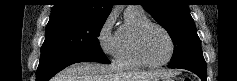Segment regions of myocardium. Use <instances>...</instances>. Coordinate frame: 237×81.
I'll use <instances>...</instances> for the list:
<instances>
[{
	"label": "myocardium",
	"mask_w": 237,
	"mask_h": 81,
	"mask_svg": "<svg viewBox=\"0 0 237 81\" xmlns=\"http://www.w3.org/2000/svg\"><path fill=\"white\" fill-rule=\"evenodd\" d=\"M151 27H155L158 28L159 30H161L165 36L167 37L169 43H170V53L169 56L167 57V59H165L164 61L161 62H150L146 59L144 53H143V47H142V43H143V38L145 33L147 32V30ZM134 51L136 54V57L140 60V62L147 67H151V68H159L162 66L167 65L173 58L174 53H175V43L173 40V37L171 36V34L160 24L156 23V22H152L149 21L145 24H143L142 26H140L134 35Z\"/></svg>",
	"instance_id": "f54148a6"
}]
</instances>
